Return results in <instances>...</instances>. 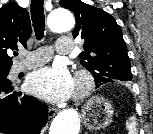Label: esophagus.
Listing matches in <instances>:
<instances>
[{
    "label": "esophagus",
    "instance_id": "1",
    "mask_svg": "<svg viewBox=\"0 0 153 134\" xmlns=\"http://www.w3.org/2000/svg\"><path fill=\"white\" fill-rule=\"evenodd\" d=\"M57 110L55 108H49L48 109V115L50 117H53L56 114Z\"/></svg>",
    "mask_w": 153,
    "mask_h": 134
}]
</instances>
